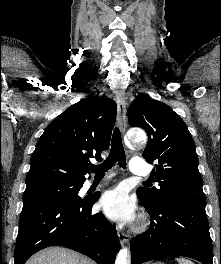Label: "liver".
Returning a JSON list of instances; mask_svg holds the SVG:
<instances>
[{
	"label": "liver",
	"instance_id": "6515ba94",
	"mask_svg": "<svg viewBox=\"0 0 221 264\" xmlns=\"http://www.w3.org/2000/svg\"><path fill=\"white\" fill-rule=\"evenodd\" d=\"M26 264H96L91 259L62 247H50L33 255Z\"/></svg>",
	"mask_w": 221,
	"mask_h": 264
}]
</instances>
